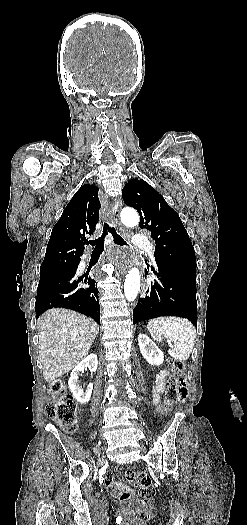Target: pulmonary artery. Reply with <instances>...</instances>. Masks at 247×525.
I'll return each instance as SVG.
<instances>
[{"instance_id": "pulmonary-artery-1", "label": "pulmonary artery", "mask_w": 247, "mask_h": 525, "mask_svg": "<svg viewBox=\"0 0 247 525\" xmlns=\"http://www.w3.org/2000/svg\"><path fill=\"white\" fill-rule=\"evenodd\" d=\"M132 243L138 246H141L147 254V258L151 260L153 265L158 263L156 259V249H155V240L150 236H134L131 239ZM84 261V260H82Z\"/></svg>"}]
</instances>
